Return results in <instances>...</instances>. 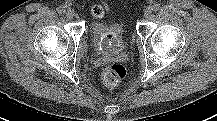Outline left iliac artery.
<instances>
[{"instance_id":"left-iliac-artery-1","label":"left iliac artery","mask_w":217,"mask_h":121,"mask_svg":"<svg viewBox=\"0 0 217 121\" xmlns=\"http://www.w3.org/2000/svg\"><path fill=\"white\" fill-rule=\"evenodd\" d=\"M159 9H160V5L157 3L152 6V10L155 12L158 11Z\"/></svg>"}]
</instances>
